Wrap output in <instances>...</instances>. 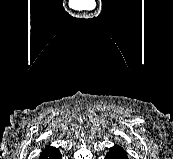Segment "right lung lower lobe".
<instances>
[{"instance_id": "right-lung-lower-lobe-1", "label": "right lung lower lobe", "mask_w": 173, "mask_h": 159, "mask_svg": "<svg viewBox=\"0 0 173 159\" xmlns=\"http://www.w3.org/2000/svg\"><path fill=\"white\" fill-rule=\"evenodd\" d=\"M39 159H61V154L60 151L57 149L55 151L41 155Z\"/></svg>"}]
</instances>
